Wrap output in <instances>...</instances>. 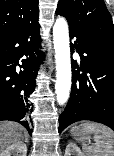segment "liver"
<instances>
[{"instance_id": "obj_1", "label": "liver", "mask_w": 114, "mask_h": 156, "mask_svg": "<svg viewBox=\"0 0 114 156\" xmlns=\"http://www.w3.org/2000/svg\"><path fill=\"white\" fill-rule=\"evenodd\" d=\"M23 132V127L18 123L0 121V153L20 140L23 137Z\"/></svg>"}]
</instances>
